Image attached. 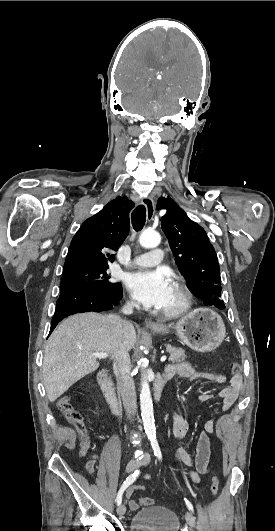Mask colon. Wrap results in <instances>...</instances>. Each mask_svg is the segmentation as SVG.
Returning <instances> with one entry per match:
<instances>
[{
    "label": "colon",
    "instance_id": "colon-1",
    "mask_svg": "<svg viewBox=\"0 0 275 531\" xmlns=\"http://www.w3.org/2000/svg\"><path fill=\"white\" fill-rule=\"evenodd\" d=\"M231 369L234 373H239L241 371V364L239 362H234L232 364ZM57 408L62 412L66 419L76 428L77 432L79 433L82 439L84 447H87L89 445V435L83 414L79 410L75 409L69 403V400L67 398H63L58 401ZM87 469H89V466L87 467ZM133 487H136V492H144V485L142 484L133 485ZM218 487V478L216 476H213L210 484V490L213 495L218 492Z\"/></svg>",
    "mask_w": 275,
    "mask_h": 531
}]
</instances>
